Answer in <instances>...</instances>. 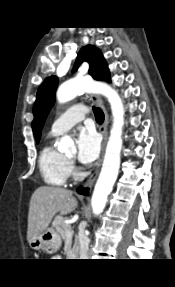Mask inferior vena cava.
<instances>
[{
  "mask_svg": "<svg viewBox=\"0 0 175 287\" xmlns=\"http://www.w3.org/2000/svg\"><path fill=\"white\" fill-rule=\"evenodd\" d=\"M79 242H80V259H87L89 249V238L86 236L83 229L79 232Z\"/></svg>",
  "mask_w": 175,
  "mask_h": 287,
  "instance_id": "obj_1",
  "label": "inferior vena cava"
}]
</instances>
